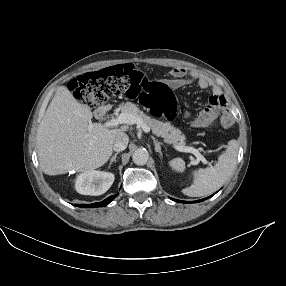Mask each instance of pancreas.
<instances>
[{"label":"pancreas","instance_id":"obj_1","mask_svg":"<svg viewBox=\"0 0 286 286\" xmlns=\"http://www.w3.org/2000/svg\"><path fill=\"white\" fill-rule=\"evenodd\" d=\"M129 113L135 117L138 125H146L152 129L153 133L157 136L163 137L165 142L176 146L185 145V136L179 129L173 127L169 122L155 120L147 116L133 103L121 104L116 112Z\"/></svg>","mask_w":286,"mask_h":286}]
</instances>
